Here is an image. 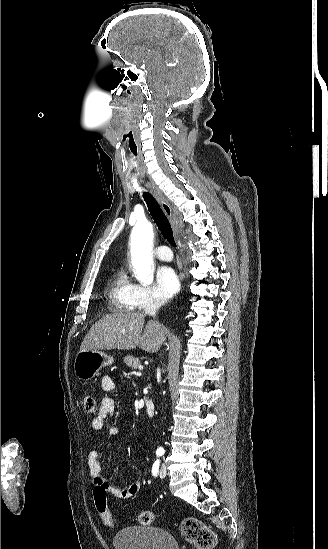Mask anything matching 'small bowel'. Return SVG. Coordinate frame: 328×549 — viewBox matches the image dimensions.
<instances>
[{
    "label": "small bowel",
    "instance_id": "1",
    "mask_svg": "<svg viewBox=\"0 0 328 549\" xmlns=\"http://www.w3.org/2000/svg\"><path fill=\"white\" fill-rule=\"evenodd\" d=\"M101 387L106 392H111L115 389V383L110 376H104L101 380ZM115 411V401L111 397H104L98 409L96 416L91 421V428L94 431H100L105 425L108 417L112 416ZM107 434L115 439L120 436V429L117 426H111L107 429ZM100 453L97 449L89 451L87 456V472L94 484H103L107 492L111 493L119 499H131L137 495L140 490V482H133L124 488H117L108 484L102 477V467L99 461Z\"/></svg>",
    "mask_w": 328,
    "mask_h": 549
}]
</instances>
